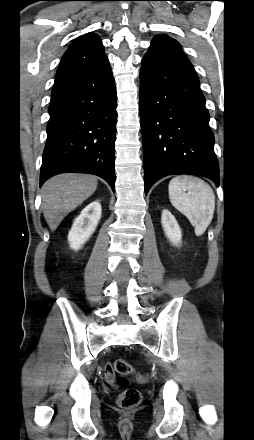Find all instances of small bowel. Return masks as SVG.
<instances>
[{"instance_id": "small-bowel-1", "label": "small bowel", "mask_w": 254, "mask_h": 440, "mask_svg": "<svg viewBox=\"0 0 254 440\" xmlns=\"http://www.w3.org/2000/svg\"><path fill=\"white\" fill-rule=\"evenodd\" d=\"M106 373H107V376H108L109 380H111V376H112V368H111L110 365H107V366H106Z\"/></svg>"}]
</instances>
